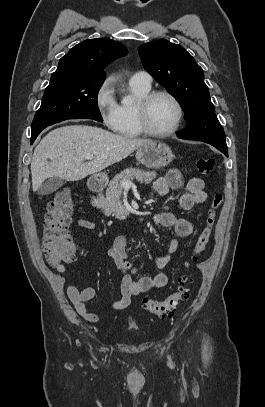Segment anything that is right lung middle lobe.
I'll return each instance as SVG.
<instances>
[{"label":"right lung middle lobe","mask_w":265,"mask_h":407,"mask_svg":"<svg viewBox=\"0 0 265 407\" xmlns=\"http://www.w3.org/2000/svg\"><path fill=\"white\" fill-rule=\"evenodd\" d=\"M102 84L103 81L68 75L52 76L32 122V136L37 137L46 127L67 119L88 118L102 122L97 104Z\"/></svg>","instance_id":"right-lung-middle-lobe-1"}]
</instances>
